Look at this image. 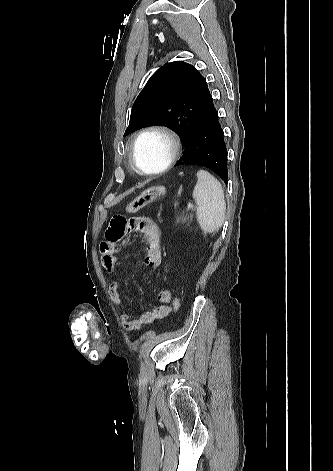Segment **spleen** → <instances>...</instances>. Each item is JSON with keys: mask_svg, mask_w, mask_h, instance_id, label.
<instances>
[{"mask_svg": "<svg viewBox=\"0 0 333 471\" xmlns=\"http://www.w3.org/2000/svg\"><path fill=\"white\" fill-rule=\"evenodd\" d=\"M193 198L197 204V220L205 233H216L224 223L226 203L221 183L208 171L197 172Z\"/></svg>", "mask_w": 333, "mask_h": 471, "instance_id": "spleen-1", "label": "spleen"}]
</instances>
